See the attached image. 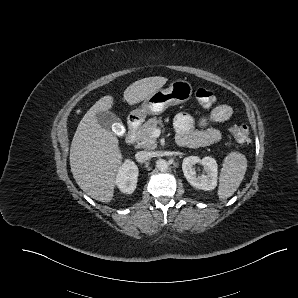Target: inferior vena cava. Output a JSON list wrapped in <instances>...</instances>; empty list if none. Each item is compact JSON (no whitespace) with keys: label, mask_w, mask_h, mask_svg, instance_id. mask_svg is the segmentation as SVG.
Wrapping results in <instances>:
<instances>
[{"label":"inferior vena cava","mask_w":298,"mask_h":298,"mask_svg":"<svg viewBox=\"0 0 298 298\" xmlns=\"http://www.w3.org/2000/svg\"><path fill=\"white\" fill-rule=\"evenodd\" d=\"M153 157V152L149 151V150H142V151H138L135 154V158L138 162L142 163L146 160H149L150 158Z\"/></svg>","instance_id":"1"}]
</instances>
